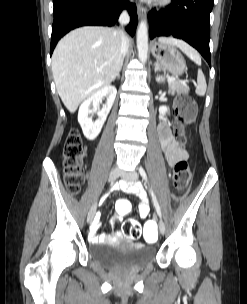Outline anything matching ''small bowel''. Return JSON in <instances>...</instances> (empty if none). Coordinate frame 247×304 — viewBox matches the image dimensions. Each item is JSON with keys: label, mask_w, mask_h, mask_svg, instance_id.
I'll return each instance as SVG.
<instances>
[{"label": "small bowel", "mask_w": 247, "mask_h": 304, "mask_svg": "<svg viewBox=\"0 0 247 304\" xmlns=\"http://www.w3.org/2000/svg\"><path fill=\"white\" fill-rule=\"evenodd\" d=\"M158 135L166 161L170 166H174L180 159L186 157V153L179 148L174 135L172 134L168 119H164L160 122L158 126ZM120 188L123 191L135 194L139 198V216L141 218H146L150 211V204L144 188L140 185L126 182H121ZM100 227V219L97 217L89 234V239L91 242L100 243L115 240L120 237L118 233L115 235L98 234Z\"/></svg>", "instance_id": "small-bowel-1"}]
</instances>
